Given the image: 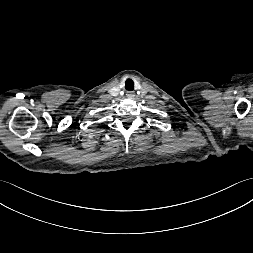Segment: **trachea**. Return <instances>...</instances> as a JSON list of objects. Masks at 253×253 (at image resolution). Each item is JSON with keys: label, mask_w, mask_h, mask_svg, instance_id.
Wrapping results in <instances>:
<instances>
[{"label": "trachea", "mask_w": 253, "mask_h": 253, "mask_svg": "<svg viewBox=\"0 0 253 253\" xmlns=\"http://www.w3.org/2000/svg\"><path fill=\"white\" fill-rule=\"evenodd\" d=\"M125 89L128 91H132L134 89V82L132 79H127L125 81Z\"/></svg>", "instance_id": "trachea-1"}]
</instances>
